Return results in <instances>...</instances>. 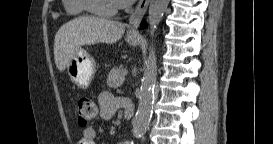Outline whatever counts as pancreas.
Wrapping results in <instances>:
<instances>
[{
	"label": "pancreas",
	"instance_id": "obj_1",
	"mask_svg": "<svg viewBox=\"0 0 273 144\" xmlns=\"http://www.w3.org/2000/svg\"><path fill=\"white\" fill-rule=\"evenodd\" d=\"M123 68L114 67L110 70L107 77V84L112 88H117L121 86L124 82V77L122 76Z\"/></svg>",
	"mask_w": 273,
	"mask_h": 144
}]
</instances>
